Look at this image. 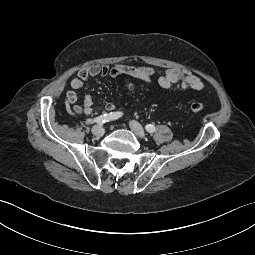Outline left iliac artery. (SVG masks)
Returning a JSON list of instances; mask_svg holds the SVG:
<instances>
[{"label": "left iliac artery", "instance_id": "44dca946", "mask_svg": "<svg viewBox=\"0 0 255 255\" xmlns=\"http://www.w3.org/2000/svg\"><path fill=\"white\" fill-rule=\"evenodd\" d=\"M145 129L147 132L149 133H154L155 132V126L154 125H151V124H148L145 126Z\"/></svg>", "mask_w": 255, "mask_h": 255}]
</instances>
